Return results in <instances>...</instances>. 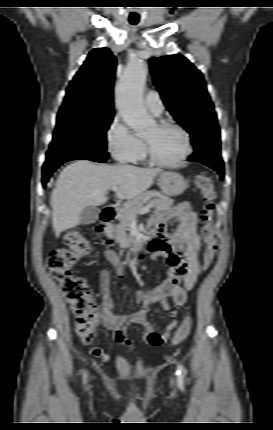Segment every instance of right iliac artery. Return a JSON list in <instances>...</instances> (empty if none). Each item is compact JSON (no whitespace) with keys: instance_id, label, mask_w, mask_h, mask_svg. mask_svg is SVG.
Instances as JSON below:
<instances>
[{"instance_id":"82829eb1","label":"right iliac artery","mask_w":273,"mask_h":430,"mask_svg":"<svg viewBox=\"0 0 273 430\" xmlns=\"http://www.w3.org/2000/svg\"><path fill=\"white\" fill-rule=\"evenodd\" d=\"M86 378H87V374L85 373V374H84V380H86Z\"/></svg>"}]
</instances>
